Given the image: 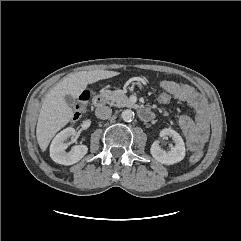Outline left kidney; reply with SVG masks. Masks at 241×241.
<instances>
[{"label": "left kidney", "mask_w": 241, "mask_h": 241, "mask_svg": "<svg viewBox=\"0 0 241 241\" xmlns=\"http://www.w3.org/2000/svg\"><path fill=\"white\" fill-rule=\"evenodd\" d=\"M160 136L163 138L171 137L175 146L170 151H165L162 150L159 142L155 141L150 149L153 158L165 165H172L183 160L185 157V144L179 133L173 129L165 128L160 132Z\"/></svg>", "instance_id": "left-kidney-1"}]
</instances>
